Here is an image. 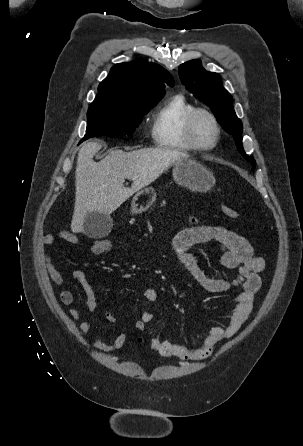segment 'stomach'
<instances>
[{"instance_id":"1","label":"stomach","mask_w":303,"mask_h":446,"mask_svg":"<svg viewBox=\"0 0 303 446\" xmlns=\"http://www.w3.org/2000/svg\"><path fill=\"white\" fill-rule=\"evenodd\" d=\"M173 178L175 182L194 192H207L215 183L213 173L192 159H183L173 164ZM156 192L152 187H145L138 191L131 203V212L140 214L145 212L155 201Z\"/></svg>"}]
</instances>
